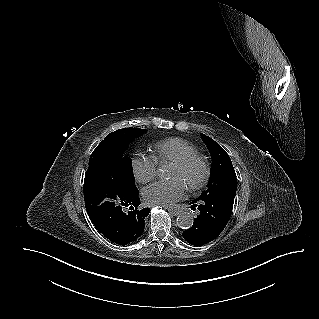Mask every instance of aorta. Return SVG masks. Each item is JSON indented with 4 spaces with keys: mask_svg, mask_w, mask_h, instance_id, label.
<instances>
[{
    "mask_svg": "<svg viewBox=\"0 0 319 319\" xmlns=\"http://www.w3.org/2000/svg\"><path fill=\"white\" fill-rule=\"evenodd\" d=\"M177 225L182 229H188L193 224V216L188 211L181 212L176 220Z\"/></svg>",
    "mask_w": 319,
    "mask_h": 319,
    "instance_id": "obj_1",
    "label": "aorta"
}]
</instances>
